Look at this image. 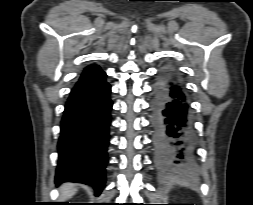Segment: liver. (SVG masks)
I'll return each mask as SVG.
<instances>
[{"mask_svg":"<svg viewBox=\"0 0 253 205\" xmlns=\"http://www.w3.org/2000/svg\"><path fill=\"white\" fill-rule=\"evenodd\" d=\"M60 191H61V199L66 200L71 198L76 193L77 188L75 187V185L67 183L63 184L60 187Z\"/></svg>","mask_w":253,"mask_h":205,"instance_id":"obj_1","label":"liver"}]
</instances>
